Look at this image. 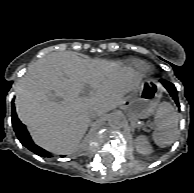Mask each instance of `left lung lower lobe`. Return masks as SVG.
I'll list each match as a JSON object with an SVG mask.
<instances>
[{
    "instance_id": "obj_1",
    "label": "left lung lower lobe",
    "mask_w": 194,
    "mask_h": 193,
    "mask_svg": "<svg viewBox=\"0 0 194 193\" xmlns=\"http://www.w3.org/2000/svg\"><path fill=\"white\" fill-rule=\"evenodd\" d=\"M161 82L165 86V88L168 90V92L170 93L174 101L176 102L177 106H179V101L177 98V90L175 86L172 83L165 81V80H161Z\"/></svg>"
}]
</instances>
